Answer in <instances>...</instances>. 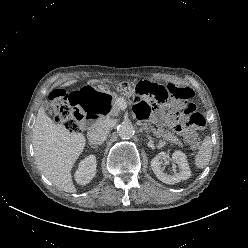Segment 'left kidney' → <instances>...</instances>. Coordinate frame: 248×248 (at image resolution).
I'll return each instance as SVG.
<instances>
[{"instance_id": "1", "label": "left kidney", "mask_w": 248, "mask_h": 248, "mask_svg": "<svg viewBox=\"0 0 248 248\" xmlns=\"http://www.w3.org/2000/svg\"><path fill=\"white\" fill-rule=\"evenodd\" d=\"M168 159V154L161 152L156 155L151 161V168L154 174L159 180L166 184H176L181 180H187L191 176V170L186 158V155L181 151H175L172 154L173 161L178 164L179 171L174 172L172 175H168L163 172L161 163L162 160L166 161Z\"/></svg>"}]
</instances>
